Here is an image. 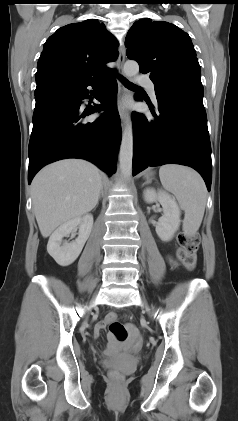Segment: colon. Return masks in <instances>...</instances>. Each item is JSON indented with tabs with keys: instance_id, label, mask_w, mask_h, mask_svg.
Returning <instances> with one entry per match:
<instances>
[{
	"instance_id": "obj_1",
	"label": "colon",
	"mask_w": 238,
	"mask_h": 421,
	"mask_svg": "<svg viewBox=\"0 0 238 421\" xmlns=\"http://www.w3.org/2000/svg\"><path fill=\"white\" fill-rule=\"evenodd\" d=\"M179 249L177 251V258L188 270H193L196 266L197 256L196 252L200 244V238L195 233L183 232L178 237ZM108 327L111 336L123 342L128 336L127 328L117 319L114 314L108 320ZM110 380L113 385L119 386L124 380V376L117 370H112L109 374Z\"/></svg>"
}]
</instances>
